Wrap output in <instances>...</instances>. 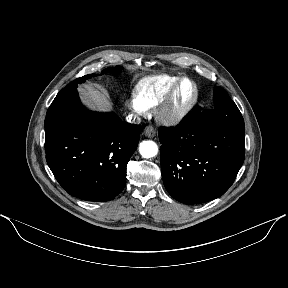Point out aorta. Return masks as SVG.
Segmentation results:
<instances>
[{
	"instance_id": "obj_1",
	"label": "aorta",
	"mask_w": 288,
	"mask_h": 288,
	"mask_svg": "<svg viewBox=\"0 0 288 288\" xmlns=\"http://www.w3.org/2000/svg\"><path fill=\"white\" fill-rule=\"evenodd\" d=\"M139 152L143 158H152L157 155L158 146L153 141H143L140 144Z\"/></svg>"
}]
</instances>
